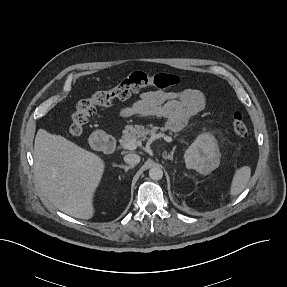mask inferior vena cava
Returning a JSON list of instances; mask_svg holds the SVG:
<instances>
[{"mask_svg": "<svg viewBox=\"0 0 287 287\" xmlns=\"http://www.w3.org/2000/svg\"><path fill=\"white\" fill-rule=\"evenodd\" d=\"M124 161L130 166H135L140 162V156L137 154H127L124 156Z\"/></svg>", "mask_w": 287, "mask_h": 287, "instance_id": "inferior-vena-cava-1", "label": "inferior vena cava"}]
</instances>
